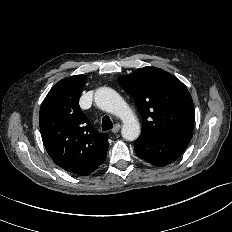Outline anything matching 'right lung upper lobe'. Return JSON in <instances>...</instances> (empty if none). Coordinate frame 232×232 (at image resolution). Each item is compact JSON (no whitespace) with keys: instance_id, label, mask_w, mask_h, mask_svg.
Instances as JSON below:
<instances>
[{"instance_id":"1","label":"right lung upper lobe","mask_w":232,"mask_h":232,"mask_svg":"<svg viewBox=\"0 0 232 232\" xmlns=\"http://www.w3.org/2000/svg\"><path fill=\"white\" fill-rule=\"evenodd\" d=\"M86 80L75 75L60 80L44 99L39 113L43 143L53 161L64 170L86 176L105 159L108 135L98 133L79 107Z\"/></svg>"}]
</instances>
